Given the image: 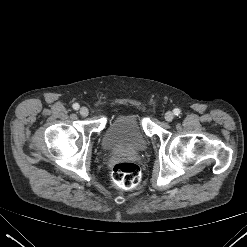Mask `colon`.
<instances>
[{
	"label": "colon",
	"instance_id": "colon-1",
	"mask_svg": "<svg viewBox=\"0 0 247 247\" xmlns=\"http://www.w3.org/2000/svg\"><path fill=\"white\" fill-rule=\"evenodd\" d=\"M141 178L140 168L133 162H121L112 169L113 182L120 188L132 189Z\"/></svg>",
	"mask_w": 247,
	"mask_h": 247
}]
</instances>
